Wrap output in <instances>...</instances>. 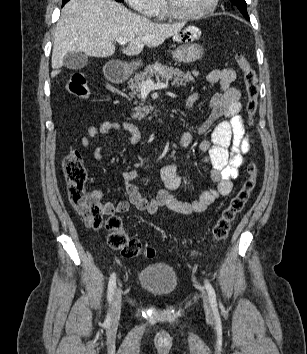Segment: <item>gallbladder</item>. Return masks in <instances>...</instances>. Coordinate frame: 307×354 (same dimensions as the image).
I'll use <instances>...</instances> for the list:
<instances>
[{
	"instance_id": "1",
	"label": "gallbladder",
	"mask_w": 307,
	"mask_h": 354,
	"mask_svg": "<svg viewBox=\"0 0 307 354\" xmlns=\"http://www.w3.org/2000/svg\"><path fill=\"white\" fill-rule=\"evenodd\" d=\"M88 64V57L80 52H69L63 58V65L69 69H82Z\"/></svg>"
}]
</instances>
